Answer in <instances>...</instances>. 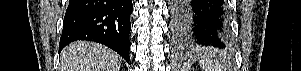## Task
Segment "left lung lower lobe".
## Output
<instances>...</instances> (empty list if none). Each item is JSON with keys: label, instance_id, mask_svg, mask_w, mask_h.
<instances>
[{"label": "left lung lower lobe", "instance_id": "0a47b994", "mask_svg": "<svg viewBox=\"0 0 301 71\" xmlns=\"http://www.w3.org/2000/svg\"><path fill=\"white\" fill-rule=\"evenodd\" d=\"M172 32L185 46L230 49L229 14L225 0H172Z\"/></svg>", "mask_w": 301, "mask_h": 71}]
</instances>
